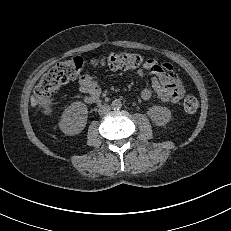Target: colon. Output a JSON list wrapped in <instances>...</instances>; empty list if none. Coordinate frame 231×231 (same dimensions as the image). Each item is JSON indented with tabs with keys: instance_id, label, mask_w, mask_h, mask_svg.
<instances>
[{
	"instance_id": "5ec220e1",
	"label": "colon",
	"mask_w": 231,
	"mask_h": 231,
	"mask_svg": "<svg viewBox=\"0 0 231 231\" xmlns=\"http://www.w3.org/2000/svg\"><path fill=\"white\" fill-rule=\"evenodd\" d=\"M88 63L81 57L59 62L51 67L41 78L35 88V97L45 113H50L57 97L58 89L77 79ZM142 58L135 53H111L104 57L94 58L89 65L95 70L126 71L138 68ZM198 100L195 96L188 95L183 101V108L188 113L198 109Z\"/></svg>"
}]
</instances>
